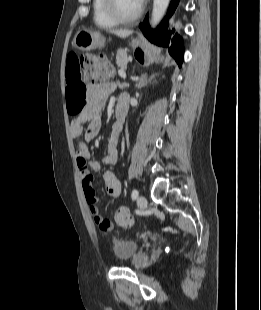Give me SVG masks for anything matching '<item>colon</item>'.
I'll return each instance as SVG.
<instances>
[{"instance_id": "colon-1", "label": "colon", "mask_w": 261, "mask_h": 310, "mask_svg": "<svg viewBox=\"0 0 261 310\" xmlns=\"http://www.w3.org/2000/svg\"><path fill=\"white\" fill-rule=\"evenodd\" d=\"M78 61L79 64L84 67L86 81L91 84H95L111 75V66L102 56L86 55L81 57ZM115 219L117 224L124 228H130L134 225V218L125 207H121L117 210ZM99 227L102 231H108L110 224L108 222H103Z\"/></svg>"}]
</instances>
